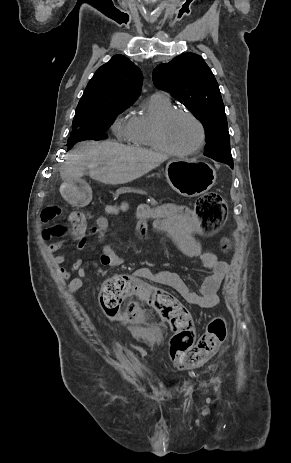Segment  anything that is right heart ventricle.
Instances as JSON below:
<instances>
[{"instance_id": "obj_1", "label": "right heart ventricle", "mask_w": 291, "mask_h": 463, "mask_svg": "<svg viewBox=\"0 0 291 463\" xmlns=\"http://www.w3.org/2000/svg\"><path fill=\"white\" fill-rule=\"evenodd\" d=\"M169 98L163 93H154L143 104L140 111L130 118L129 142L135 146L160 150L154 139V125L165 113L172 110Z\"/></svg>"}]
</instances>
